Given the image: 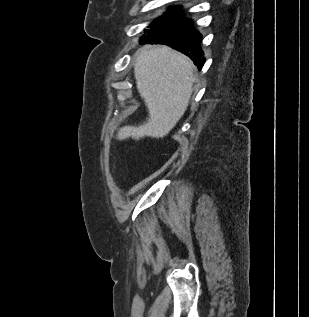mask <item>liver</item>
Returning a JSON list of instances; mask_svg holds the SVG:
<instances>
[{
    "mask_svg": "<svg viewBox=\"0 0 309 317\" xmlns=\"http://www.w3.org/2000/svg\"><path fill=\"white\" fill-rule=\"evenodd\" d=\"M194 69L188 57L167 46H145L135 60L134 76L149 118L137 127L120 128L117 139L166 136L188 107L193 91Z\"/></svg>",
    "mask_w": 309,
    "mask_h": 317,
    "instance_id": "1",
    "label": "liver"
}]
</instances>
